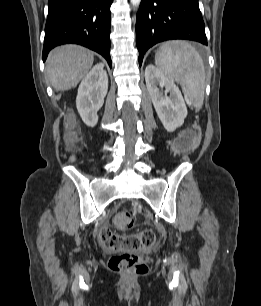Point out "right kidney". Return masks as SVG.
<instances>
[{
    "label": "right kidney",
    "mask_w": 261,
    "mask_h": 306,
    "mask_svg": "<svg viewBox=\"0 0 261 306\" xmlns=\"http://www.w3.org/2000/svg\"><path fill=\"white\" fill-rule=\"evenodd\" d=\"M103 68V63L95 65L78 88L77 110L84 123L90 127H94L98 122L97 113L108 90V76Z\"/></svg>",
    "instance_id": "ca27d5eb"
}]
</instances>
